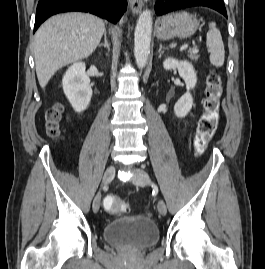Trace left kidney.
I'll return each mask as SVG.
<instances>
[{
  "label": "left kidney",
  "mask_w": 265,
  "mask_h": 269,
  "mask_svg": "<svg viewBox=\"0 0 265 269\" xmlns=\"http://www.w3.org/2000/svg\"><path fill=\"white\" fill-rule=\"evenodd\" d=\"M163 67L166 70L178 69L180 77L185 81L187 92L180 97L174 106V113L177 117H185L192 108L193 98L190 90L197 83V76L194 67L187 61H178L174 58H167L163 62Z\"/></svg>",
  "instance_id": "5707ae66"
}]
</instances>
